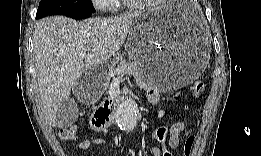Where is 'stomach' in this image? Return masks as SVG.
Instances as JSON below:
<instances>
[{"instance_id":"stomach-1","label":"stomach","mask_w":261,"mask_h":156,"mask_svg":"<svg viewBox=\"0 0 261 156\" xmlns=\"http://www.w3.org/2000/svg\"><path fill=\"white\" fill-rule=\"evenodd\" d=\"M187 2H167L144 12L130 30L129 50L142 71L141 78L162 91L183 87L197 79L208 62L209 43L195 30L185 7ZM122 59L88 69L81 79L91 94L107 87L108 70Z\"/></svg>"}]
</instances>
